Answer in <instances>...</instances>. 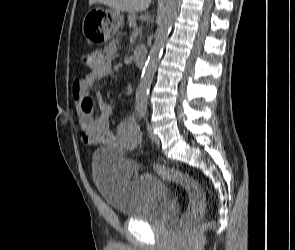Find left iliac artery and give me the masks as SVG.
Returning <instances> with one entry per match:
<instances>
[{"label":"left iliac artery","mask_w":295,"mask_h":250,"mask_svg":"<svg viewBox=\"0 0 295 250\" xmlns=\"http://www.w3.org/2000/svg\"><path fill=\"white\" fill-rule=\"evenodd\" d=\"M141 111L143 112V115H146V107L142 108Z\"/></svg>","instance_id":"44dca946"}]
</instances>
